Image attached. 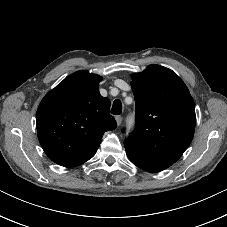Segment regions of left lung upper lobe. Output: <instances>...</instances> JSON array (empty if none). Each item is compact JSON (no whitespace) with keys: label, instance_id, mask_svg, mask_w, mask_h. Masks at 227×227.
<instances>
[{"label":"left lung upper lobe","instance_id":"left-lung-upper-lobe-1","mask_svg":"<svg viewBox=\"0 0 227 227\" xmlns=\"http://www.w3.org/2000/svg\"><path fill=\"white\" fill-rule=\"evenodd\" d=\"M136 128L124 141L128 158L139 168L162 171L190 145L196 124L188 88L172 70L150 65L132 76Z\"/></svg>","mask_w":227,"mask_h":227}]
</instances>
